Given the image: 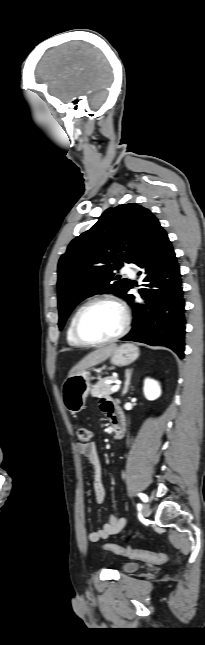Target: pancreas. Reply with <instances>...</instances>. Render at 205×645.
Instances as JSON below:
<instances>
[{"instance_id": "1", "label": "pancreas", "mask_w": 205, "mask_h": 645, "mask_svg": "<svg viewBox=\"0 0 205 645\" xmlns=\"http://www.w3.org/2000/svg\"><path fill=\"white\" fill-rule=\"evenodd\" d=\"M116 379L117 378L113 376L100 379L99 382H97V384L93 386L91 390V395L93 397H98V398L110 395L112 393L111 391L112 385L106 384V381L116 380Z\"/></svg>"}]
</instances>
